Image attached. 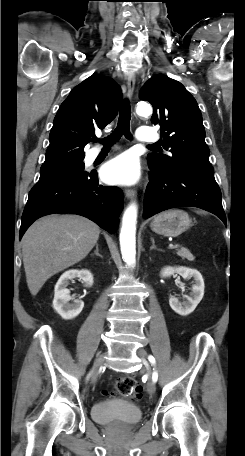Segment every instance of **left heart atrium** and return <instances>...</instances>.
Here are the masks:
<instances>
[{
    "instance_id": "left-heart-atrium-1",
    "label": "left heart atrium",
    "mask_w": 245,
    "mask_h": 456,
    "mask_svg": "<svg viewBox=\"0 0 245 456\" xmlns=\"http://www.w3.org/2000/svg\"><path fill=\"white\" fill-rule=\"evenodd\" d=\"M140 174L139 159L132 152H125L111 159L102 168V177L110 184H134L140 178Z\"/></svg>"
}]
</instances>
